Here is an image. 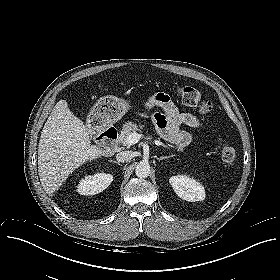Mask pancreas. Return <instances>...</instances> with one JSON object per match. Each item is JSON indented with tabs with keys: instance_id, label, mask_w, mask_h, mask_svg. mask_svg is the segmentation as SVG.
I'll list each match as a JSON object with an SVG mask.
<instances>
[{
	"instance_id": "cf45deb5",
	"label": "pancreas",
	"mask_w": 280,
	"mask_h": 280,
	"mask_svg": "<svg viewBox=\"0 0 280 280\" xmlns=\"http://www.w3.org/2000/svg\"><path fill=\"white\" fill-rule=\"evenodd\" d=\"M143 128V126L141 125H137L134 122L128 121L123 125V129L118 137V140L121 144H123L124 146H128L129 144L126 143V138L127 136L132 133V132H136L139 131Z\"/></svg>"
}]
</instances>
